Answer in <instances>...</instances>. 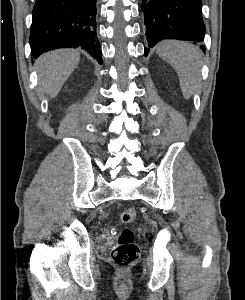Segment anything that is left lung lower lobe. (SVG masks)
I'll list each match as a JSON object with an SVG mask.
<instances>
[{"label":"left lung lower lobe","mask_w":245,"mask_h":300,"mask_svg":"<svg viewBox=\"0 0 245 300\" xmlns=\"http://www.w3.org/2000/svg\"><path fill=\"white\" fill-rule=\"evenodd\" d=\"M201 5V0H142L148 46L162 39L203 41ZM201 49L205 51L204 46ZM148 53L145 47V56Z\"/></svg>","instance_id":"1"}]
</instances>
